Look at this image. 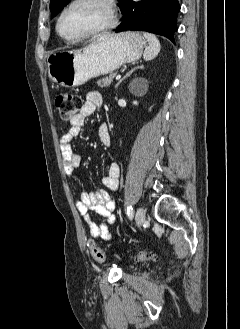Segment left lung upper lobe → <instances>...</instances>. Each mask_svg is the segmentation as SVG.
<instances>
[{
	"instance_id": "5c2ea615",
	"label": "left lung upper lobe",
	"mask_w": 240,
	"mask_h": 329,
	"mask_svg": "<svg viewBox=\"0 0 240 329\" xmlns=\"http://www.w3.org/2000/svg\"><path fill=\"white\" fill-rule=\"evenodd\" d=\"M70 0H51L50 2V10L52 12V15L56 16L69 2ZM126 0H119L120 2V8L122 10L124 6V2Z\"/></svg>"
}]
</instances>
